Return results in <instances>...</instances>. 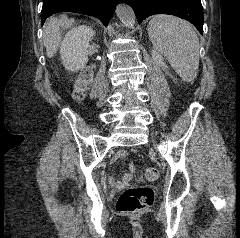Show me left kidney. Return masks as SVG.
Listing matches in <instances>:
<instances>
[{"label": "left kidney", "mask_w": 240, "mask_h": 238, "mask_svg": "<svg viewBox=\"0 0 240 238\" xmlns=\"http://www.w3.org/2000/svg\"><path fill=\"white\" fill-rule=\"evenodd\" d=\"M152 57L154 61L161 67L166 68L167 66L164 64L163 57L155 50L152 51Z\"/></svg>", "instance_id": "1"}]
</instances>
